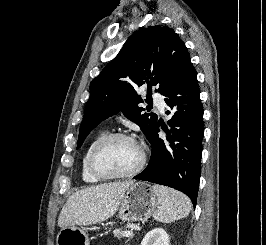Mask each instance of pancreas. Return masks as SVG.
I'll return each mask as SVG.
<instances>
[{"instance_id":"obj_1","label":"pancreas","mask_w":266,"mask_h":245,"mask_svg":"<svg viewBox=\"0 0 266 245\" xmlns=\"http://www.w3.org/2000/svg\"><path fill=\"white\" fill-rule=\"evenodd\" d=\"M123 231H113L114 237H117V239H121Z\"/></svg>"}]
</instances>
